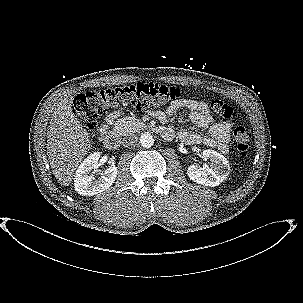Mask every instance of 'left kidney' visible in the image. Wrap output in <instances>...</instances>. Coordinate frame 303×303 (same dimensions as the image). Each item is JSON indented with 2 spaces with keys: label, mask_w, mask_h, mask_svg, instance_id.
<instances>
[{
  "label": "left kidney",
  "mask_w": 303,
  "mask_h": 303,
  "mask_svg": "<svg viewBox=\"0 0 303 303\" xmlns=\"http://www.w3.org/2000/svg\"><path fill=\"white\" fill-rule=\"evenodd\" d=\"M197 148H194V151ZM204 160H210V167L200 168L197 165H190L187 169L189 178L201 185L214 187L219 185L229 175V162L220 153L214 150H203L201 154Z\"/></svg>",
  "instance_id": "5707ae66"
}]
</instances>
